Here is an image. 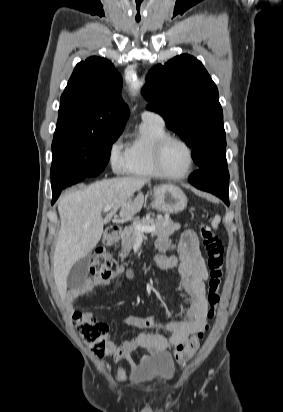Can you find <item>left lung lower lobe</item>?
Here are the masks:
<instances>
[{
    "label": "left lung lower lobe",
    "mask_w": 283,
    "mask_h": 412,
    "mask_svg": "<svg viewBox=\"0 0 283 412\" xmlns=\"http://www.w3.org/2000/svg\"><path fill=\"white\" fill-rule=\"evenodd\" d=\"M211 165L204 166L196 171L189 182L196 188L210 192L221 198L229 205V173L224 151H215L211 154Z\"/></svg>",
    "instance_id": "1"
}]
</instances>
